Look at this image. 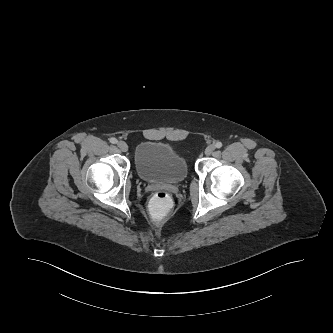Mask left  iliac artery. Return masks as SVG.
Masks as SVG:
<instances>
[{
	"instance_id": "left-iliac-artery-1",
	"label": "left iliac artery",
	"mask_w": 333,
	"mask_h": 333,
	"mask_svg": "<svg viewBox=\"0 0 333 333\" xmlns=\"http://www.w3.org/2000/svg\"><path fill=\"white\" fill-rule=\"evenodd\" d=\"M215 147L216 148H221L222 147V143L221 142H216L215 143Z\"/></svg>"
}]
</instances>
